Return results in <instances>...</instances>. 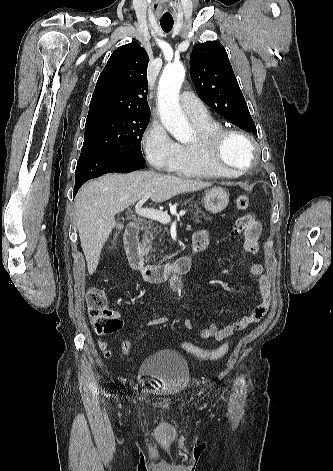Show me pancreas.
Masks as SVG:
<instances>
[{"label":"pancreas","mask_w":333,"mask_h":471,"mask_svg":"<svg viewBox=\"0 0 333 471\" xmlns=\"http://www.w3.org/2000/svg\"><path fill=\"white\" fill-rule=\"evenodd\" d=\"M189 204L190 207L193 208V213H192V219L196 223H200V218L205 217L206 219H210L209 217H206L205 213L201 211L200 208H198L197 204H194V202L189 199L186 200L183 205ZM143 239H142V248L146 253H152L155 251L153 248V241L156 239L157 235L161 232V226L154 225L153 222H149L147 226L143 228ZM154 259V256L151 255V257H148L147 259Z\"/></svg>","instance_id":"1"}]
</instances>
